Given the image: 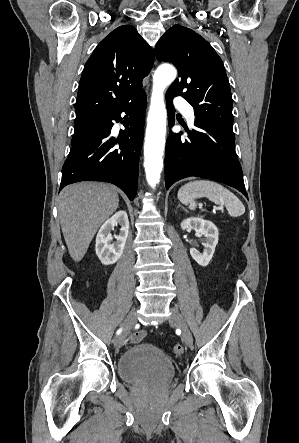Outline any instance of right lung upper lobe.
<instances>
[{"mask_svg": "<svg viewBox=\"0 0 299 443\" xmlns=\"http://www.w3.org/2000/svg\"><path fill=\"white\" fill-rule=\"evenodd\" d=\"M154 50L135 27L113 30L88 59L78 88L76 123L129 102L143 91L142 80L150 72Z\"/></svg>", "mask_w": 299, "mask_h": 443, "instance_id": "right-lung-upper-lobe-1", "label": "right lung upper lobe"}]
</instances>
